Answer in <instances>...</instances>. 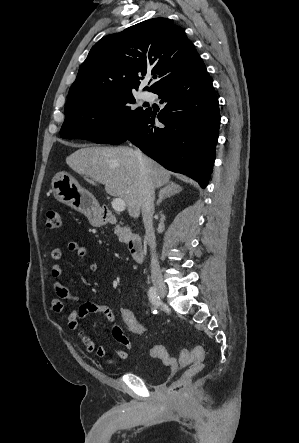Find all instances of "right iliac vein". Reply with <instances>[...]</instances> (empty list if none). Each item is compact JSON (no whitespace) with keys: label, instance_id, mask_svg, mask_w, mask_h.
<instances>
[{"label":"right iliac vein","instance_id":"1","mask_svg":"<svg viewBox=\"0 0 299 443\" xmlns=\"http://www.w3.org/2000/svg\"><path fill=\"white\" fill-rule=\"evenodd\" d=\"M152 282H153L154 287L156 288V290L160 294V296L165 297V295L167 293V287H166L165 283L163 282L162 278L159 276H153Z\"/></svg>","mask_w":299,"mask_h":443}]
</instances>
